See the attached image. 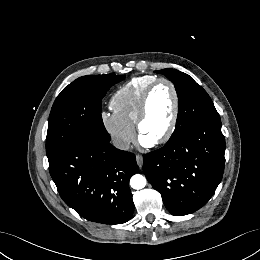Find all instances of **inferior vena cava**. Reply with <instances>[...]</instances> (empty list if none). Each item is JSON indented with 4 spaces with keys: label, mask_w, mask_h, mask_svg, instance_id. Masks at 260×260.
Masks as SVG:
<instances>
[{
    "label": "inferior vena cava",
    "mask_w": 260,
    "mask_h": 260,
    "mask_svg": "<svg viewBox=\"0 0 260 260\" xmlns=\"http://www.w3.org/2000/svg\"><path fill=\"white\" fill-rule=\"evenodd\" d=\"M112 144L114 145V147H116L117 149H120V150H128L130 147L129 141L119 139V138L113 139Z\"/></svg>",
    "instance_id": "obj_1"
}]
</instances>
